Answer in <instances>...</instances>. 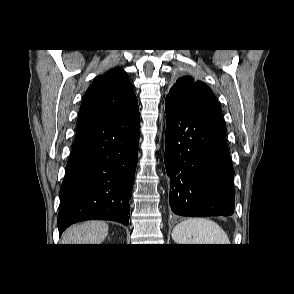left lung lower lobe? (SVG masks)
<instances>
[{"label":"left lung lower lobe","mask_w":294,"mask_h":294,"mask_svg":"<svg viewBox=\"0 0 294 294\" xmlns=\"http://www.w3.org/2000/svg\"><path fill=\"white\" fill-rule=\"evenodd\" d=\"M165 166L169 204L181 216L234 212V170L219 110L188 111L165 101Z\"/></svg>","instance_id":"0a47b994"}]
</instances>
